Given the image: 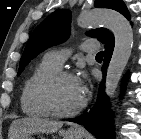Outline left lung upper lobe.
Masks as SVG:
<instances>
[{
	"instance_id": "5c2ea615",
	"label": "left lung upper lobe",
	"mask_w": 141,
	"mask_h": 139,
	"mask_svg": "<svg viewBox=\"0 0 141 139\" xmlns=\"http://www.w3.org/2000/svg\"><path fill=\"white\" fill-rule=\"evenodd\" d=\"M96 7L110 8L120 12L127 19L130 18L129 11L122 0H96ZM70 11L58 9L44 19L33 31L22 58L20 60L18 75L26 65L46 48L64 42L70 34ZM91 37H97L102 43L112 37L105 28L95 29L88 32Z\"/></svg>"
}]
</instances>
